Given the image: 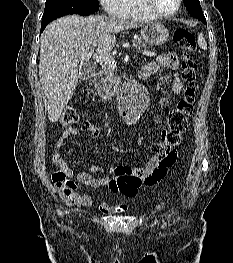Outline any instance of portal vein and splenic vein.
I'll list each match as a JSON object with an SVG mask.
<instances>
[{
	"instance_id": "18ae733b",
	"label": "portal vein and splenic vein",
	"mask_w": 233,
	"mask_h": 263,
	"mask_svg": "<svg viewBox=\"0 0 233 263\" xmlns=\"http://www.w3.org/2000/svg\"><path fill=\"white\" fill-rule=\"evenodd\" d=\"M94 51H90L84 55H82L80 58H79V61L81 63L85 62V61H88L89 59H94L96 61H100V62H104L105 64L109 65L110 67L112 68H115L116 67V63H115V60L113 57H111L110 55L108 54H98V55H94L93 54ZM144 55H147V56H154L155 53H152V52H146L144 51L143 52ZM78 62V60H76ZM67 66H69V64H67Z\"/></svg>"
}]
</instances>
